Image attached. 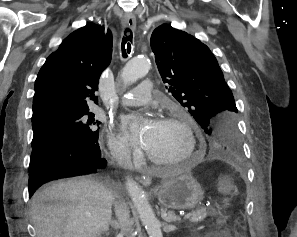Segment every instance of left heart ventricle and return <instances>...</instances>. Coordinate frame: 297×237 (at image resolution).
<instances>
[{
    "instance_id": "b2bd125f",
    "label": "left heart ventricle",
    "mask_w": 297,
    "mask_h": 237,
    "mask_svg": "<svg viewBox=\"0 0 297 237\" xmlns=\"http://www.w3.org/2000/svg\"><path fill=\"white\" fill-rule=\"evenodd\" d=\"M186 148L187 138L179 126L159 122L155 136L147 150L156 158L170 160L183 155Z\"/></svg>"
}]
</instances>
